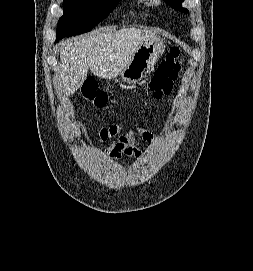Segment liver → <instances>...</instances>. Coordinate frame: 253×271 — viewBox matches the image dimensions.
<instances>
[{"label": "liver", "mask_w": 253, "mask_h": 271, "mask_svg": "<svg viewBox=\"0 0 253 271\" xmlns=\"http://www.w3.org/2000/svg\"><path fill=\"white\" fill-rule=\"evenodd\" d=\"M160 39L156 33L137 28L102 29L85 37L69 39L60 49V84L64 97L83 84L88 70L104 79L117 77L130 63L139 46Z\"/></svg>", "instance_id": "6515ba94"}]
</instances>
